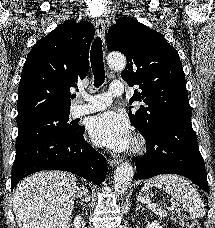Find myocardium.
I'll use <instances>...</instances> for the list:
<instances>
[{"label": "myocardium", "mask_w": 215, "mask_h": 228, "mask_svg": "<svg viewBox=\"0 0 215 228\" xmlns=\"http://www.w3.org/2000/svg\"><path fill=\"white\" fill-rule=\"evenodd\" d=\"M145 148V140L141 137L138 136L135 138L133 145L131 147V153L133 154H138L141 153Z\"/></svg>", "instance_id": "obj_1"}]
</instances>
